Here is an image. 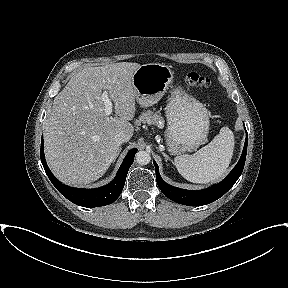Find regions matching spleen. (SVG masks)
Wrapping results in <instances>:
<instances>
[{
  "label": "spleen",
  "instance_id": "spleen-1",
  "mask_svg": "<svg viewBox=\"0 0 288 288\" xmlns=\"http://www.w3.org/2000/svg\"><path fill=\"white\" fill-rule=\"evenodd\" d=\"M234 149V134L222 127L219 134L191 156H176L174 164L188 181L206 184L220 178L229 167Z\"/></svg>",
  "mask_w": 288,
  "mask_h": 288
}]
</instances>
